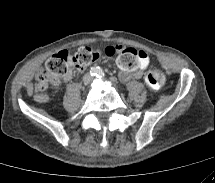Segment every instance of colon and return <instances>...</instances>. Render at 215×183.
<instances>
[{
  "label": "colon",
  "mask_w": 215,
  "mask_h": 183,
  "mask_svg": "<svg viewBox=\"0 0 215 183\" xmlns=\"http://www.w3.org/2000/svg\"><path fill=\"white\" fill-rule=\"evenodd\" d=\"M117 48L109 47L104 51H96L89 47L79 48L74 53L60 51L46 62L45 76L50 79L62 78L69 70H82L100 59L111 57ZM147 85L152 89H159L165 82V76L159 69H150L145 76Z\"/></svg>",
  "instance_id": "5ec220e1"
}]
</instances>
